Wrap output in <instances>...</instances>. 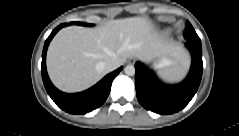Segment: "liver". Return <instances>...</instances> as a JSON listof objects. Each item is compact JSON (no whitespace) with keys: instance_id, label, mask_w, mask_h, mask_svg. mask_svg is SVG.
Wrapping results in <instances>:
<instances>
[{"instance_id":"obj_1","label":"liver","mask_w":239,"mask_h":136,"mask_svg":"<svg viewBox=\"0 0 239 136\" xmlns=\"http://www.w3.org/2000/svg\"><path fill=\"white\" fill-rule=\"evenodd\" d=\"M173 49L154 30L150 20L130 17L99 28L70 26L60 30L47 52V70L56 87L65 92L85 90L109 71L104 63L127 58L151 59Z\"/></svg>"}]
</instances>
